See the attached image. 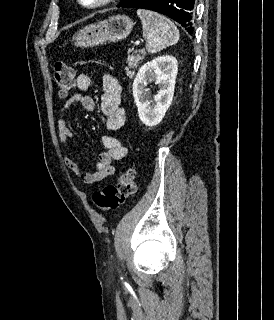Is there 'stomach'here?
Instances as JSON below:
<instances>
[{
  "label": "stomach",
  "instance_id": "1",
  "mask_svg": "<svg viewBox=\"0 0 274 320\" xmlns=\"http://www.w3.org/2000/svg\"><path fill=\"white\" fill-rule=\"evenodd\" d=\"M134 22L128 16H111L108 20H102L97 24H89L72 38L77 48H94L105 42H119L130 36Z\"/></svg>",
  "mask_w": 274,
  "mask_h": 320
}]
</instances>
